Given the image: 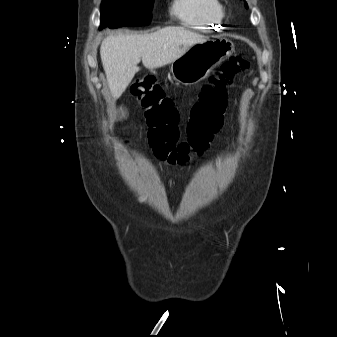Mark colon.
Listing matches in <instances>:
<instances>
[{"instance_id": "colon-1", "label": "colon", "mask_w": 337, "mask_h": 337, "mask_svg": "<svg viewBox=\"0 0 337 337\" xmlns=\"http://www.w3.org/2000/svg\"><path fill=\"white\" fill-rule=\"evenodd\" d=\"M249 68V63L232 57L203 85L191 110L186 139H180L179 114L174 101L163 93L157 81L148 75L137 78L131 94L144 111L148 142L154 155L171 164H183L201 156L222 126L226 109V88L234 77Z\"/></svg>"}]
</instances>
